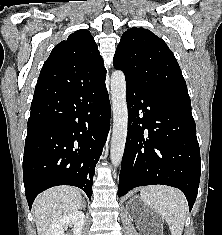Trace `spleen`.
Masks as SVG:
<instances>
[{"label": "spleen", "mask_w": 222, "mask_h": 235, "mask_svg": "<svg viewBox=\"0 0 222 235\" xmlns=\"http://www.w3.org/2000/svg\"><path fill=\"white\" fill-rule=\"evenodd\" d=\"M140 196L169 225L172 235H182L188 212L187 200L182 192L170 186H147Z\"/></svg>", "instance_id": "3e777b00"}]
</instances>
